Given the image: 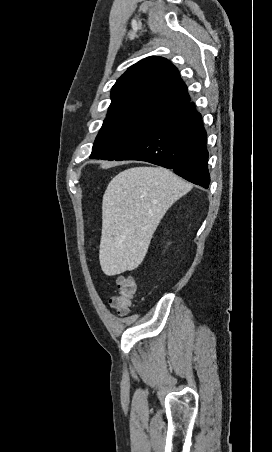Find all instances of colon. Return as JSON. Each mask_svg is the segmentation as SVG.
<instances>
[{
	"label": "colon",
	"instance_id": "5ec220e1",
	"mask_svg": "<svg viewBox=\"0 0 272 452\" xmlns=\"http://www.w3.org/2000/svg\"><path fill=\"white\" fill-rule=\"evenodd\" d=\"M117 293L110 299V306L121 316L127 315L137 294L136 281L131 276H118L116 278Z\"/></svg>",
	"mask_w": 272,
	"mask_h": 452
}]
</instances>
